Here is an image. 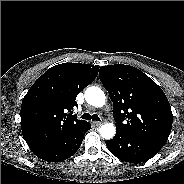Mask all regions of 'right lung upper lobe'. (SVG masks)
Masks as SVG:
<instances>
[{"mask_svg": "<svg viewBox=\"0 0 184 184\" xmlns=\"http://www.w3.org/2000/svg\"><path fill=\"white\" fill-rule=\"evenodd\" d=\"M90 64L62 63L49 68L31 86L21 105V129L28 146L35 147L70 137L89 122L72 115L76 96L98 74Z\"/></svg>", "mask_w": 184, "mask_h": 184, "instance_id": "right-lung-upper-lobe-1", "label": "right lung upper lobe"}]
</instances>
